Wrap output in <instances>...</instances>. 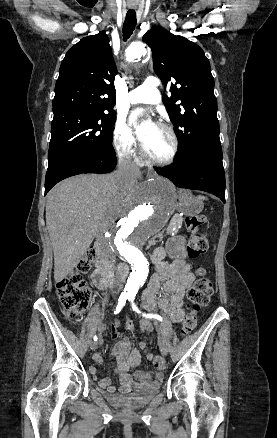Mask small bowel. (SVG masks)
I'll return each mask as SVG.
<instances>
[{
	"label": "small bowel",
	"mask_w": 277,
	"mask_h": 438,
	"mask_svg": "<svg viewBox=\"0 0 277 438\" xmlns=\"http://www.w3.org/2000/svg\"><path fill=\"white\" fill-rule=\"evenodd\" d=\"M165 257L166 250L164 248H158L155 251L153 260L156 262V273L142 295V304L148 311L161 309L173 322L178 323L185 316L184 296L193 284L195 276L191 271L190 264L186 261V253L181 245H178L176 256L172 262H166ZM161 289L164 291V296L157 301L156 295ZM127 323L128 325L125 326L124 331L131 334L134 328L129 320ZM119 324V321H115V325L110 328L114 338L119 337ZM153 329L154 327L149 321L142 322V332H152ZM98 331L102 334L106 331V326L100 325ZM139 347L145 353V358L148 361L154 360V356L149 352L145 342H140ZM112 355L116 361L115 371L121 381L122 390L132 388L155 389L162 381L163 375L161 372L154 376L150 372L134 371L140 362V355L138 350H131V342L128 337L125 336L116 342ZM95 358L101 361L98 353L95 354ZM91 372L95 373L93 369ZM98 384L111 392L115 390L111 386L109 378L99 380Z\"/></svg>",
	"instance_id": "obj_1"
}]
</instances>
